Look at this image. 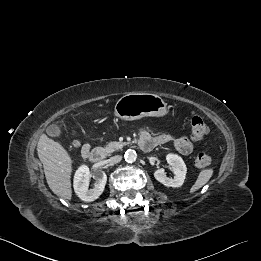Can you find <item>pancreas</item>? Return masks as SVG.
<instances>
[{"mask_svg":"<svg viewBox=\"0 0 261 261\" xmlns=\"http://www.w3.org/2000/svg\"><path fill=\"white\" fill-rule=\"evenodd\" d=\"M126 145L125 142H110L106 147V152L107 153H112L115 150H119L121 148H123Z\"/></svg>","mask_w":261,"mask_h":261,"instance_id":"pancreas-1","label":"pancreas"}]
</instances>
